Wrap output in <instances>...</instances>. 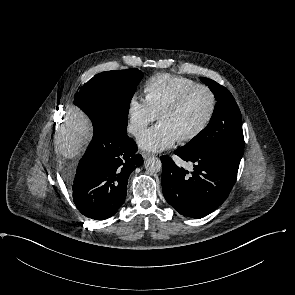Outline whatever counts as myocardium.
Masks as SVG:
<instances>
[{
	"label": "myocardium",
	"instance_id": "1",
	"mask_svg": "<svg viewBox=\"0 0 295 295\" xmlns=\"http://www.w3.org/2000/svg\"><path fill=\"white\" fill-rule=\"evenodd\" d=\"M204 90L210 97V109L208 115L204 119V121L196 128L192 133L179 138L178 140L182 143H187L190 141L195 140L198 138L211 124L214 116L216 114L217 106H218V99L214 90L208 86L207 84L203 83H196L193 86L189 87L185 91H183L172 103H170L167 107H165L158 116L159 121L162 117L175 113L179 111L189 97L196 91V90Z\"/></svg>",
	"mask_w": 295,
	"mask_h": 295
}]
</instances>
